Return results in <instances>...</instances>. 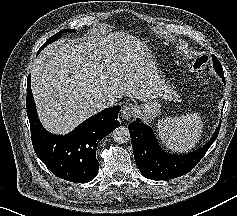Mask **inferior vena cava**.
Instances as JSON below:
<instances>
[{
	"label": "inferior vena cava",
	"mask_w": 237,
	"mask_h": 216,
	"mask_svg": "<svg viewBox=\"0 0 237 216\" xmlns=\"http://www.w3.org/2000/svg\"><path fill=\"white\" fill-rule=\"evenodd\" d=\"M100 104L102 105V109L115 106L117 105V98L111 94L101 96Z\"/></svg>",
	"instance_id": "obj_1"
}]
</instances>
